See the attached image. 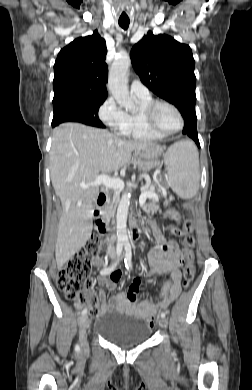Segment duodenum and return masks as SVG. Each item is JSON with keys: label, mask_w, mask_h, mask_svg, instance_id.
<instances>
[{"label": "duodenum", "mask_w": 252, "mask_h": 390, "mask_svg": "<svg viewBox=\"0 0 252 390\" xmlns=\"http://www.w3.org/2000/svg\"><path fill=\"white\" fill-rule=\"evenodd\" d=\"M108 201H109L108 195L104 192H101L96 197L95 205L98 209H100V208H103L108 203ZM98 209L96 212L97 217L99 216ZM137 218H138L137 212H133L131 215L130 227H129V238L131 241H136L138 239V237L140 236V233L138 232V230L136 228ZM109 223L110 222L108 220L99 219L96 222L97 231L100 232L101 234L108 235L109 227H110Z\"/></svg>", "instance_id": "duodenum-1"}]
</instances>
